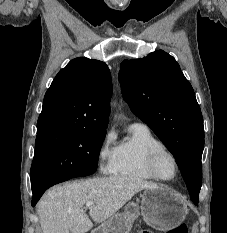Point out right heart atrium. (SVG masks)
<instances>
[{
	"instance_id": "1",
	"label": "right heart atrium",
	"mask_w": 227,
	"mask_h": 233,
	"mask_svg": "<svg viewBox=\"0 0 227 233\" xmlns=\"http://www.w3.org/2000/svg\"><path fill=\"white\" fill-rule=\"evenodd\" d=\"M115 133L113 130H108L103 135L96 153L98 168L101 173H112L115 165L116 146Z\"/></svg>"
}]
</instances>
